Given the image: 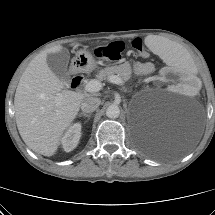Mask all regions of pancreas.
Instances as JSON below:
<instances>
[{
    "label": "pancreas",
    "mask_w": 215,
    "mask_h": 215,
    "mask_svg": "<svg viewBox=\"0 0 215 215\" xmlns=\"http://www.w3.org/2000/svg\"><path fill=\"white\" fill-rule=\"evenodd\" d=\"M114 74H117L125 81L129 80L132 74L130 64L124 63L118 66L106 67L104 69H101L96 77L98 80H106Z\"/></svg>",
    "instance_id": "pancreas-1"
}]
</instances>
